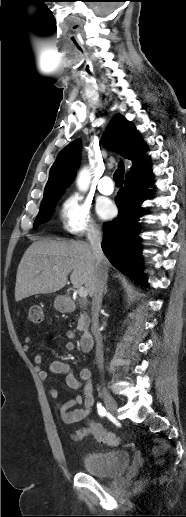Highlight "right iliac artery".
<instances>
[{
	"mask_svg": "<svg viewBox=\"0 0 186 517\" xmlns=\"http://www.w3.org/2000/svg\"><path fill=\"white\" fill-rule=\"evenodd\" d=\"M97 410H98V414L101 417H104L106 415V410L100 403L97 405Z\"/></svg>",
	"mask_w": 186,
	"mask_h": 517,
	"instance_id": "1",
	"label": "right iliac artery"
}]
</instances>
